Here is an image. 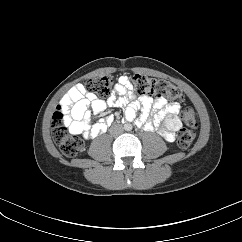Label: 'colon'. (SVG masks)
<instances>
[{
	"label": "colon",
	"instance_id": "obj_1",
	"mask_svg": "<svg viewBox=\"0 0 242 242\" xmlns=\"http://www.w3.org/2000/svg\"><path fill=\"white\" fill-rule=\"evenodd\" d=\"M113 79L110 75H103L89 79L85 82V89L99 96H107L112 90ZM135 91L141 96L155 95L160 98H168L173 101L183 99L182 91L166 80L157 79L143 74L133 76ZM181 119L185 125L178 134V144L182 148L191 145L195 137L194 129L197 127L196 112L193 108H186ZM53 139L62 153L67 157L76 156L83 148L82 140L76 136L65 123V115L59 109L52 118Z\"/></svg>",
	"mask_w": 242,
	"mask_h": 242
}]
</instances>
